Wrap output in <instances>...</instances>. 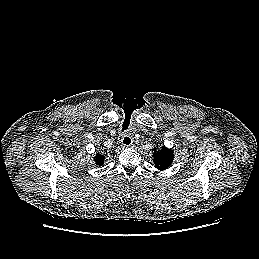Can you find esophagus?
I'll return each mask as SVG.
<instances>
[{"label":"esophagus","instance_id":"esophagus-1","mask_svg":"<svg viewBox=\"0 0 259 259\" xmlns=\"http://www.w3.org/2000/svg\"><path fill=\"white\" fill-rule=\"evenodd\" d=\"M121 143L124 147H131L133 145V139L129 135H124L121 139Z\"/></svg>","mask_w":259,"mask_h":259}]
</instances>
